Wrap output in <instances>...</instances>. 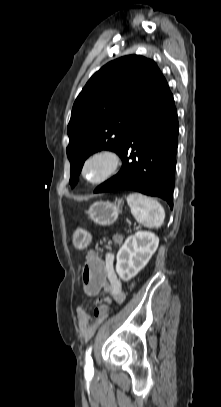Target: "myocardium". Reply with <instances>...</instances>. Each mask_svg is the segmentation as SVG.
Segmentation results:
<instances>
[{"label": "myocardium", "mask_w": 221, "mask_h": 407, "mask_svg": "<svg viewBox=\"0 0 221 407\" xmlns=\"http://www.w3.org/2000/svg\"><path fill=\"white\" fill-rule=\"evenodd\" d=\"M106 159L108 161V168L105 173L96 180H90L86 176V168L90 162L96 159ZM123 166V157L115 149L104 148L91 153L83 162L81 167L82 178L91 185H100L119 173Z\"/></svg>", "instance_id": "1"}]
</instances>
